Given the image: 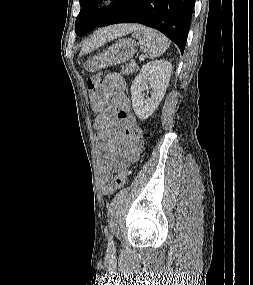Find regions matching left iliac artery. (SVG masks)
Instances as JSON below:
<instances>
[{
    "label": "left iliac artery",
    "instance_id": "obj_1",
    "mask_svg": "<svg viewBox=\"0 0 253 285\" xmlns=\"http://www.w3.org/2000/svg\"><path fill=\"white\" fill-rule=\"evenodd\" d=\"M108 244H109L110 247L114 248V241H113V238H112L111 235H109Z\"/></svg>",
    "mask_w": 253,
    "mask_h": 285
}]
</instances>
